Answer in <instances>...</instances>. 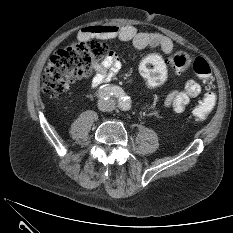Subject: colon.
Returning a JSON list of instances; mask_svg holds the SVG:
<instances>
[{
  "label": "colon",
  "instance_id": "colon-1",
  "mask_svg": "<svg viewBox=\"0 0 233 233\" xmlns=\"http://www.w3.org/2000/svg\"><path fill=\"white\" fill-rule=\"evenodd\" d=\"M106 52L105 44L96 39L75 40L59 49L51 57L44 70L42 76L44 90L53 95H60L68 91L75 80L91 75L93 62L105 56ZM190 65L203 82L206 92L188 117L194 122H201L207 118L216 103L212 70L204 58L193 59L186 52L180 51L165 59L156 52H150L142 58L140 72L146 85L153 88L165 81L168 66L180 72Z\"/></svg>",
  "mask_w": 233,
  "mask_h": 233
}]
</instances>
